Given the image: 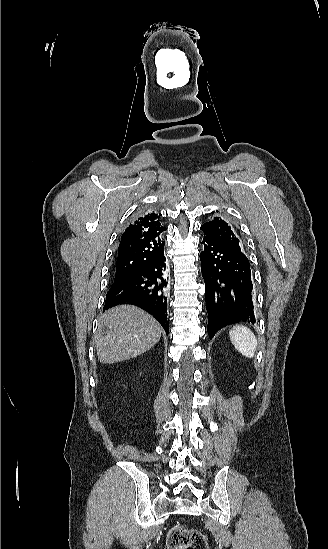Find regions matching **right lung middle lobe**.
I'll return each mask as SVG.
<instances>
[{
	"mask_svg": "<svg viewBox=\"0 0 328 549\" xmlns=\"http://www.w3.org/2000/svg\"><path fill=\"white\" fill-rule=\"evenodd\" d=\"M124 279H126V278H124ZM124 279H120V278H115V280H114V283H113V284H116V283H118V282H120V281H122V280H124Z\"/></svg>",
	"mask_w": 328,
	"mask_h": 549,
	"instance_id": "obj_1",
	"label": "right lung middle lobe"
}]
</instances>
